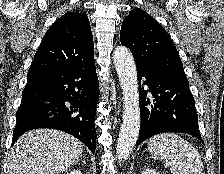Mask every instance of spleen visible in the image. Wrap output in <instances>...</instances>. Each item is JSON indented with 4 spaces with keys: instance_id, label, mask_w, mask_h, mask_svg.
I'll return each instance as SVG.
<instances>
[{
    "instance_id": "spleen-1",
    "label": "spleen",
    "mask_w": 224,
    "mask_h": 174,
    "mask_svg": "<svg viewBox=\"0 0 224 174\" xmlns=\"http://www.w3.org/2000/svg\"><path fill=\"white\" fill-rule=\"evenodd\" d=\"M148 149L151 154L169 160L172 174H205L199 152L176 134L154 136L148 142Z\"/></svg>"
}]
</instances>
